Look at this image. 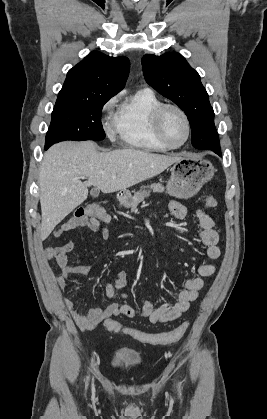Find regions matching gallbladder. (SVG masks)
<instances>
[{
    "label": "gallbladder",
    "instance_id": "bac80fb5",
    "mask_svg": "<svg viewBox=\"0 0 267 419\" xmlns=\"http://www.w3.org/2000/svg\"><path fill=\"white\" fill-rule=\"evenodd\" d=\"M99 189L98 188H94V189H92V191H91V195L93 196V197H97L98 195H99Z\"/></svg>",
    "mask_w": 267,
    "mask_h": 419
}]
</instances>
